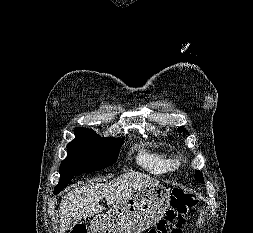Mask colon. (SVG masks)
<instances>
[{
  "label": "colon",
  "mask_w": 253,
  "mask_h": 233,
  "mask_svg": "<svg viewBox=\"0 0 253 233\" xmlns=\"http://www.w3.org/2000/svg\"><path fill=\"white\" fill-rule=\"evenodd\" d=\"M199 204V197L183 189H173L165 216L148 233H181L188 216ZM69 233H87V229L83 224H75Z\"/></svg>",
  "instance_id": "colon-1"
}]
</instances>
